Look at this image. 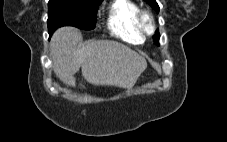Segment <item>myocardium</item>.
Here are the masks:
<instances>
[{
  "instance_id": "myocardium-1",
  "label": "myocardium",
  "mask_w": 227,
  "mask_h": 142,
  "mask_svg": "<svg viewBox=\"0 0 227 142\" xmlns=\"http://www.w3.org/2000/svg\"><path fill=\"white\" fill-rule=\"evenodd\" d=\"M140 30L145 35H152L155 30V21L153 15L148 11H141L138 17Z\"/></svg>"
}]
</instances>
